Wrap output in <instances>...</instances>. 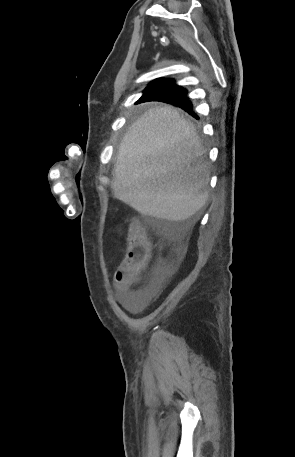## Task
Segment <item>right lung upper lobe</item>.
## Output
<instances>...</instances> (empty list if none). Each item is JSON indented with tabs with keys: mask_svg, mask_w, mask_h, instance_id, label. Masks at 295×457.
Masks as SVG:
<instances>
[{
	"mask_svg": "<svg viewBox=\"0 0 295 457\" xmlns=\"http://www.w3.org/2000/svg\"><path fill=\"white\" fill-rule=\"evenodd\" d=\"M171 81L172 80H170V79L159 78V79L154 80L148 87L156 86V85H160V84H164V83H168V82H171Z\"/></svg>",
	"mask_w": 295,
	"mask_h": 457,
	"instance_id": "1",
	"label": "right lung upper lobe"
}]
</instances>
